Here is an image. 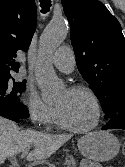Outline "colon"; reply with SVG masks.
Wrapping results in <instances>:
<instances>
[{"label": "colon", "mask_w": 125, "mask_h": 167, "mask_svg": "<svg viewBox=\"0 0 125 167\" xmlns=\"http://www.w3.org/2000/svg\"><path fill=\"white\" fill-rule=\"evenodd\" d=\"M123 153L125 155V143L123 144Z\"/></svg>", "instance_id": "colon-1"}]
</instances>
